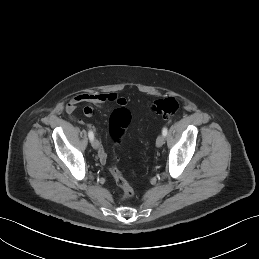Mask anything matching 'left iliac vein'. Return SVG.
<instances>
[{
    "mask_svg": "<svg viewBox=\"0 0 259 259\" xmlns=\"http://www.w3.org/2000/svg\"><path fill=\"white\" fill-rule=\"evenodd\" d=\"M164 143V136L163 135H159L156 139V146L157 147H161Z\"/></svg>",
    "mask_w": 259,
    "mask_h": 259,
    "instance_id": "4c4485c4",
    "label": "left iliac vein"
}]
</instances>
